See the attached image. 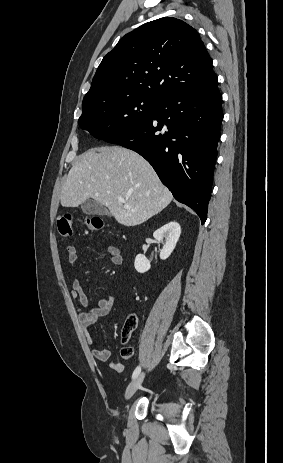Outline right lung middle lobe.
Segmentation results:
<instances>
[{"label": "right lung middle lobe", "mask_w": 283, "mask_h": 463, "mask_svg": "<svg viewBox=\"0 0 283 463\" xmlns=\"http://www.w3.org/2000/svg\"><path fill=\"white\" fill-rule=\"evenodd\" d=\"M157 100L141 95H111L82 105L79 126L107 141L146 121L156 110Z\"/></svg>", "instance_id": "obj_1"}]
</instances>
